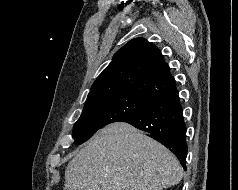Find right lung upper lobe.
Segmentation results:
<instances>
[{
  "label": "right lung upper lobe",
  "mask_w": 238,
  "mask_h": 190,
  "mask_svg": "<svg viewBox=\"0 0 238 190\" xmlns=\"http://www.w3.org/2000/svg\"><path fill=\"white\" fill-rule=\"evenodd\" d=\"M174 88L175 80L160 50L144 38H135L115 53L93 83L86 102L131 95L155 103Z\"/></svg>",
  "instance_id": "right-lung-upper-lobe-1"
}]
</instances>
